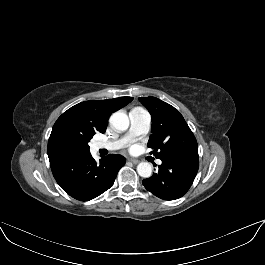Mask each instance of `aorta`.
Returning a JSON list of instances; mask_svg holds the SVG:
<instances>
[{"label":"aorta","instance_id":"762f6f07","mask_svg":"<svg viewBox=\"0 0 265 265\" xmlns=\"http://www.w3.org/2000/svg\"><path fill=\"white\" fill-rule=\"evenodd\" d=\"M111 126L118 131H125L129 127L127 114L121 111L114 112L110 117ZM152 166L148 162H141L137 166V172L141 177L149 178L152 175Z\"/></svg>","mask_w":265,"mask_h":265}]
</instances>
